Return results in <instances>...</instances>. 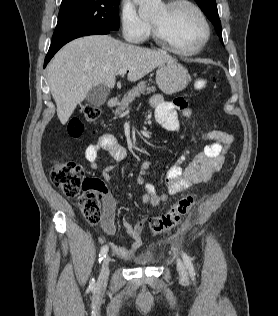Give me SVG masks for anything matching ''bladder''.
<instances>
[{"instance_id":"31cf9c89","label":"bladder","mask_w":278,"mask_h":316,"mask_svg":"<svg viewBox=\"0 0 278 316\" xmlns=\"http://www.w3.org/2000/svg\"><path fill=\"white\" fill-rule=\"evenodd\" d=\"M135 263L138 265H152L154 263V259H152V258H138L135 260Z\"/></svg>"}]
</instances>
